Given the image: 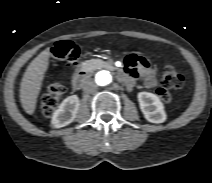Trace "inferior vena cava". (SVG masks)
Returning a JSON list of instances; mask_svg holds the SVG:
<instances>
[{
    "label": "inferior vena cava",
    "instance_id": "obj_1",
    "mask_svg": "<svg viewBox=\"0 0 212 183\" xmlns=\"http://www.w3.org/2000/svg\"><path fill=\"white\" fill-rule=\"evenodd\" d=\"M97 89V85L94 81L92 80H89L86 82V84L84 85L83 87V90L86 92V93H92L94 92L95 90Z\"/></svg>",
    "mask_w": 212,
    "mask_h": 183
}]
</instances>
